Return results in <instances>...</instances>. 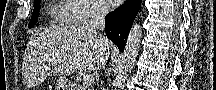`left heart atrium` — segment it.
<instances>
[{
  "instance_id": "obj_1",
  "label": "left heart atrium",
  "mask_w": 216,
  "mask_h": 90,
  "mask_svg": "<svg viewBox=\"0 0 216 90\" xmlns=\"http://www.w3.org/2000/svg\"><path fill=\"white\" fill-rule=\"evenodd\" d=\"M105 7H120V0H101Z\"/></svg>"
}]
</instances>
